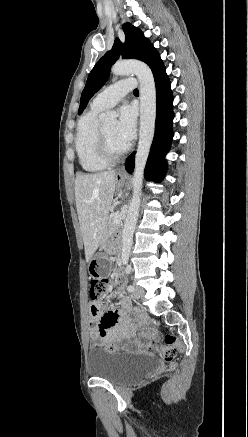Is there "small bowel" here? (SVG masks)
Wrapping results in <instances>:
<instances>
[{
  "label": "small bowel",
  "instance_id": "small-bowel-1",
  "mask_svg": "<svg viewBox=\"0 0 248 437\" xmlns=\"http://www.w3.org/2000/svg\"><path fill=\"white\" fill-rule=\"evenodd\" d=\"M122 278H116V286L122 311L107 310L103 303L92 301L89 304V336L91 344L110 345L120 341H126V348L131 351H142L145 344L139 339L137 328L132 324L129 317L131 312L130 302L122 295ZM144 338H150L153 332L144 323L139 324Z\"/></svg>",
  "mask_w": 248,
  "mask_h": 437
}]
</instances>
